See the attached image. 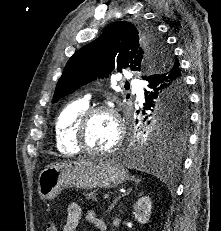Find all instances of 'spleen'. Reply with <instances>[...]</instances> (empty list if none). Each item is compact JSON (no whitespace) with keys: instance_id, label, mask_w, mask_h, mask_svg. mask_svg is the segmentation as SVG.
I'll return each instance as SVG.
<instances>
[{"instance_id":"spleen-1","label":"spleen","mask_w":221,"mask_h":231,"mask_svg":"<svg viewBox=\"0 0 221 231\" xmlns=\"http://www.w3.org/2000/svg\"><path fill=\"white\" fill-rule=\"evenodd\" d=\"M135 182L139 183V182H140V179L135 180Z\"/></svg>"}]
</instances>
